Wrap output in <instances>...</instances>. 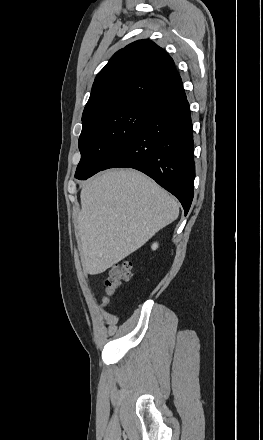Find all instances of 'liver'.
I'll list each match as a JSON object with an SVG mask.
<instances>
[{
  "mask_svg": "<svg viewBox=\"0 0 263 440\" xmlns=\"http://www.w3.org/2000/svg\"><path fill=\"white\" fill-rule=\"evenodd\" d=\"M80 199L79 252L84 271L91 275L135 252L179 215L174 197L132 169L97 175L84 184Z\"/></svg>",
  "mask_w": 263,
  "mask_h": 440,
  "instance_id": "liver-1",
  "label": "liver"
}]
</instances>
